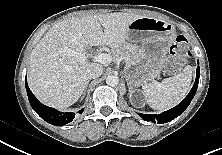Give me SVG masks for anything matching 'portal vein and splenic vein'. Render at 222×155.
Instances as JSON below:
<instances>
[{
    "label": "portal vein and splenic vein",
    "mask_w": 222,
    "mask_h": 155,
    "mask_svg": "<svg viewBox=\"0 0 222 155\" xmlns=\"http://www.w3.org/2000/svg\"><path fill=\"white\" fill-rule=\"evenodd\" d=\"M86 56L82 55L80 57V59L85 60ZM112 56H110L109 54H104V53H99L97 55L94 56V60L101 63V64H107L110 63L112 61Z\"/></svg>",
    "instance_id": "1"
}]
</instances>
